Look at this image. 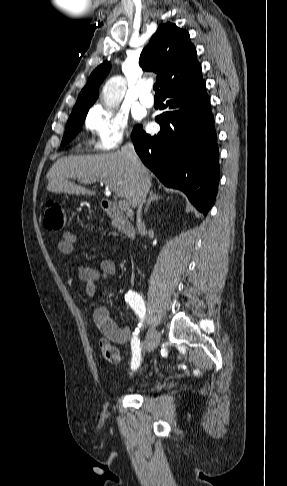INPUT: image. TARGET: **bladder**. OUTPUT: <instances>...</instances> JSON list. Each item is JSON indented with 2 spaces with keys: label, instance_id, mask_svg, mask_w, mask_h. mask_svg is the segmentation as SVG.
Instances as JSON below:
<instances>
[{
  "label": "bladder",
  "instance_id": "31cf9c89",
  "mask_svg": "<svg viewBox=\"0 0 287 486\" xmlns=\"http://www.w3.org/2000/svg\"><path fill=\"white\" fill-rule=\"evenodd\" d=\"M147 385H148V381H143V382H141V383H140L138 386H139V387H145V386H147Z\"/></svg>",
  "mask_w": 287,
  "mask_h": 486
}]
</instances>
